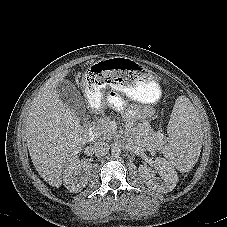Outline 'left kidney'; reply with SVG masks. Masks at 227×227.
Segmentation results:
<instances>
[{
    "instance_id": "left-kidney-1",
    "label": "left kidney",
    "mask_w": 227,
    "mask_h": 227,
    "mask_svg": "<svg viewBox=\"0 0 227 227\" xmlns=\"http://www.w3.org/2000/svg\"><path fill=\"white\" fill-rule=\"evenodd\" d=\"M155 162L160 177H156V172L146 165L139 166V175L149 188L157 192L168 193L176 187L177 172L164 158H157Z\"/></svg>"
}]
</instances>
